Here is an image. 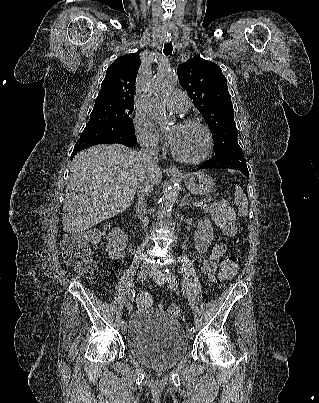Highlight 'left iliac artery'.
Instances as JSON below:
<instances>
[{
  "label": "left iliac artery",
  "instance_id": "1",
  "mask_svg": "<svg viewBox=\"0 0 319 403\" xmlns=\"http://www.w3.org/2000/svg\"><path fill=\"white\" fill-rule=\"evenodd\" d=\"M164 276H165L167 282L169 283L170 289L175 291L177 289V287H178V284H177V280H176V277L173 274V272L170 269L167 268L165 270ZM190 330L195 332L194 327H191Z\"/></svg>",
  "mask_w": 319,
  "mask_h": 403
}]
</instances>
